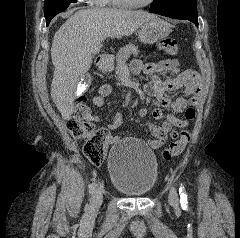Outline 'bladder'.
<instances>
[{"mask_svg":"<svg viewBox=\"0 0 240 238\" xmlns=\"http://www.w3.org/2000/svg\"><path fill=\"white\" fill-rule=\"evenodd\" d=\"M108 172L117 191L127 196H144L156 183L158 162L145 143L133 138L123 139L110 149Z\"/></svg>","mask_w":240,"mask_h":238,"instance_id":"1","label":"bladder"}]
</instances>
